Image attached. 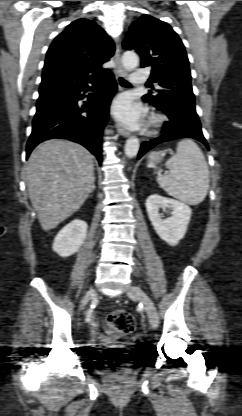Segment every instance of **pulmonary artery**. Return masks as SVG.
<instances>
[{"label": "pulmonary artery", "mask_w": 242, "mask_h": 416, "mask_svg": "<svg viewBox=\"0 0 242 416\" xmlns=\"http://www.w3.org/2000/svg\"><path fill=\"white\" fill-rule=\"evenodd\" d=\"M147 77H146V72L143 69H136L133 71L132 75H131V84L132 85H139L142 84L146 81Z\"/></svg>", "instance_id": "obj_1"}]
</instances>
